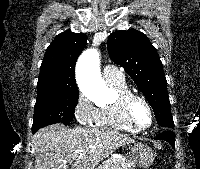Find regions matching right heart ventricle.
Here are the masks:
<instances>
[{
    "label": "right heart ventricle",
    "instance_id": "1",
    "mask_svg": "<svg viewBox=\"0 0 200 169\" xmlns=\"http://www.w3.org/2000/svg\"><path fill=\"white\" fill-rule=\"evenodd\" d=\"M108 85L116 92L117 97L111 104L97 109L94 124L99 127L135 132L125 122L121 110L122 97L132 93L130 87L125 80L108 82Z\"/></svg>",
    "mask_w": 200,
    "mask_h": 169
}]
</instances>
